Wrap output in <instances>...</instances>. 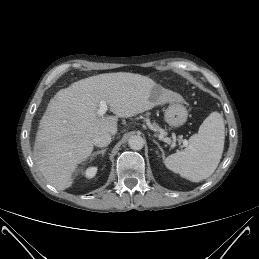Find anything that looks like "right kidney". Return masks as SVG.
Listing matches in <instances>:
<instances>
[{"label": "right kidney", "mask_w": 259, "mask_h": 259, "mask_svg": "<svg viewBox=\"0 0 259 259\" xmlns=\"http://www.w3.org/2000/svg\"><path fill=\"white\" fill-rule=\"evenodd\" d=\"M97 173V167H89L87 168L83 174L85 175L86 178L91 179L93 178Z\"/></svg>", "instance_id": "ca27d5eb"}]
</instances>
